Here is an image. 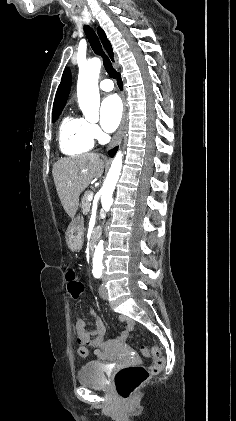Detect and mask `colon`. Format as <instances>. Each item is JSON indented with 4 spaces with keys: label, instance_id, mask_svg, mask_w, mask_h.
I'll use <instances>...</instances> for the list:
<instances>
[{
    "label": "colon",
    "instance_id": "colon-1",
    "mask_svg": "<svg viewBox=\"0 0 236 421\" xmlns=\"http://www.w3.org/2000/svg\"><path fill=\"white\" fill-rule=\"evenodd\" d=\"M67 282L70 295L75 299L79 298L84 291V284L74 270L67 273ZM141 353L144 357L154 359L150 367L130 365L119 369L115 374V388L119 396L125 400L129 399L133 392L146 382L152 374H158L164 367L165 359L160 348L143 347Z\"/></svg>",
    "mask_w": 236,
    "mask_h": 421
}]
</instances>
